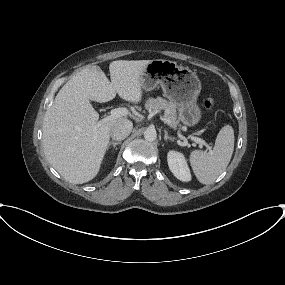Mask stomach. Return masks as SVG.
I'll return each instance as SVG.
<instances>
[{
  "label": "stomach",
  "mask_w": 285,
  "mask_h": 285,
  "mask_svg": "<svg viewBox=\"0 0 285 285\" xmlns=\"http://www.w3.org/2000/svg\"><path fill=\"white\" fill-rule=\"evenodd\" d=\"M145 91L161 86L164 96L178 107V119L185 126H195L202 118V110L197 104L201 82L187 67L164 59H154L146 66L140 78Z\"/></svg>",
  "instance_id": "1"
}]
</instances>
